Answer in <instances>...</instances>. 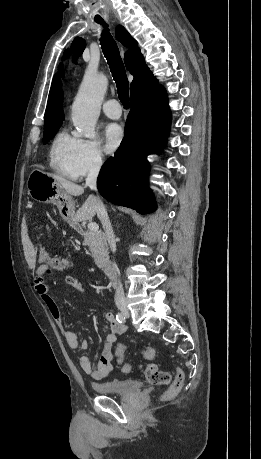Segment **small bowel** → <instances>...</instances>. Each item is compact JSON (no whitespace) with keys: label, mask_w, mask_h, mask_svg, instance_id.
<instances>
[{"label":"small bowel","mask_w":261,"mask_h":459,"mask_svg":"<svg viewBox=\"0 0 261 459\" xmlns=\"http://www.w3.org/2000/svg\"><path fill=\"white\" fill-rule=\"evenodd\" d=\"M51 276L52 272L48 269V267L46 265H42L37 272L35 280V290L37 294L40 296L43 303L48 308L53 319L63 329L64 338L68 346L72 349L86 350L88 348V342L86 339L82 337V334L80 332L69 331L64 329L60 309L55 299L51 295L49 286L46 283V280ZM63 280L67 285L75 288L76 290L82 293L86 291L83 284L73 276H64ZM105 322V345L102 356L97 364V367L94 368L92 366V363L88 357L81 356L79 358V365L81 369L86 374L90 375L94 380H101L107 377L112 372L114 358L112 353V347L117 342L119 336L123 334L126 330V327L122 323H119L115 315L110 312L105 314Z\"/></svg>","instance_id":"c3829d8e"}]
</instances>
